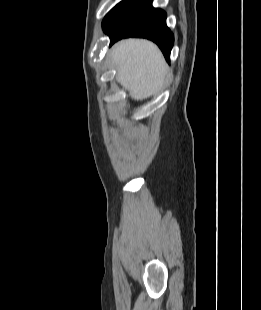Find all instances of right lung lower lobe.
Returning a JSON list of instances; mask_svg holds the SVG:
<instances>
[{
    "label": "right lung lower lobe",
    "mask_w": 261,
    "mask_h": 310,
    "mask_svg": "<svg viewBox=\"0 0 261 310\" xmlns=\"http://www.w3.org/2000/svg\"><path fill=\"white\" fill-rule=\"evenodd\" d=\"M152 0H132L114 19L103 27L110 46L126 37H144L155 42L169 62L174 37L166 26V13L152 7Z\"/></svg>",
    "instance_id": "98d812e1"
}]
</instances>
